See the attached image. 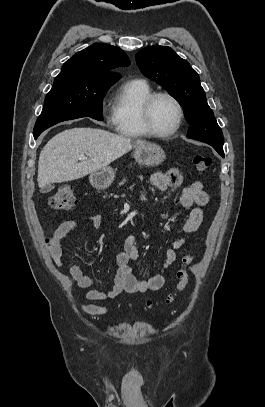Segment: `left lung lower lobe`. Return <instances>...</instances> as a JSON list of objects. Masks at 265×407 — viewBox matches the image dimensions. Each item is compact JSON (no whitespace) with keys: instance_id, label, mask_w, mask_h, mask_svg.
Returning <instances> with one entry per match:
<instances>
[{"instance_id":"0a47b994","label":"left lung lower lobe","mask_w":265,"mask_h":407,"mask_svg":"<svg viewBox=\"0 0 265 407\" xmlns=\"http://www.w3.org/2000/svg\"><path fill=\"white\" fill-rule=\"evenodd\" d=\"M222 157H224V152H222L219 148H217L216 146H212Z\"/></svg>"}]
</instances>
